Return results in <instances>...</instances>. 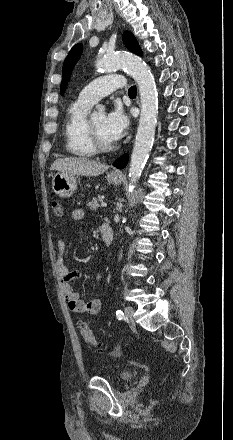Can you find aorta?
I'll return each mask as SVG.
<instances>
[{
    "instance_id": "obj_1",
    "label": "aorta",
    "mask_w": 233,
    "mask_h": 440,
    "mask_svg": "<svg viewBox=\"0 0 233 440\" xmlns=\"http://www.w3.org/2000/svg\"><path fill=\"white\" fill-rule=\"evenodd\" d=\"M96 67L102 72L124 69L136 81L141 100V114L131 155L129 177L131 189L141 176L151 151L158 113V98L154 77L147 64L132 54H114L97 61ZM98 113L104 112L103 106H97Z\"/></svg>"
}]
</instances>
